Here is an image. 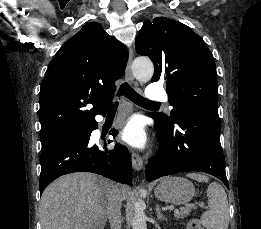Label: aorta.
<instances>
[{"mask_svg":"<svg viewBox=\"0 0 261 229\" xmlns=\"http://www.w3.org/2000/svg\"><path fill=\"white\" fill-rule=\"evenodd\" d=\"M132 72L140 82H148L154 74V64L147 56H137L132 62ZM146 191L139 189V197L134 203V215L132 221V229H147V217L145 215L146 205L142 201V195Z\"/></svg>","mask_w":261,"mask_h":229,"instance_id":"1","label":"aorta"}]
</instances>
